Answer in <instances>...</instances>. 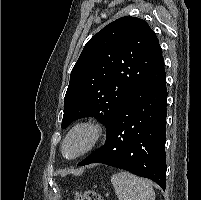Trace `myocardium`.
Returning <instances> with one entry per match:
<instances>
[{"label": "myocardium", "instance_id": "1", "mask_svg": "<svg viewBox=\"0 0 201 200\" xmlns=\"http://www.w3.org/2000/svg\"><path fill=\"white\" fill-rule=\"evenodd\" d=\"M79 130H85L90 134L89 142H88L87 146L79 153H77L73 156H67L65 154V150H64L65 144H66L67 140L69 139V137L73 133H75L76 131H79ZM106 134H107V128L101 121H98L95 119H86V120L79 121L76 124H74L69 129V131L66 133V135L62 141V144H61V153H62L63 157L66 158L67 160L78 159V158L86 155L90 151H92L96 146H98L103 141Z\"/></svg>", "mask_w": 201, "mask_h": 200}]
</instances>
